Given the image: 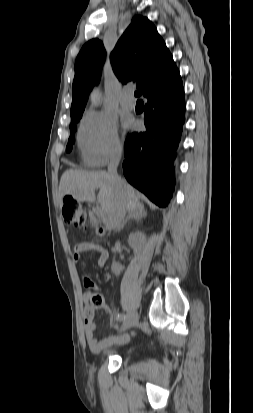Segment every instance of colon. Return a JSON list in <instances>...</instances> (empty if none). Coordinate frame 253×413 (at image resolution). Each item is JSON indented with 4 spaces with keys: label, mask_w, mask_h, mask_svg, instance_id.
Returning <instances> with one entry per match:
<instances>
[{
    "label": "colon",
    "mask_w": 253,
    "mask_h": 413,
    "mask_svg": "<svg viewBox=\"0 0 253 413\" xmlns=\"http://www.w3.org/2000/svg\"><path fill=\"white\" fill-rule=\"evenodd\" d=\"M62 215L67 223L74 224L77 226H86L88 224L87 216L85 211L82 209L80 204L74 199L66 198L62 207ZM101 233L102 230H99ZM89 302L93 308H100L103 306L104 300L101 293L91 285L89 287Z\"/></svg>",
    "instance_id": "1"
}]
</instances>
